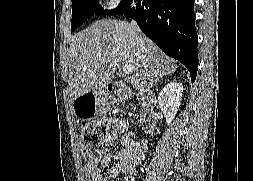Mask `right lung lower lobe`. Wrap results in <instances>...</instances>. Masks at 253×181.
Here are the masks:
<instances>
[{
    "label": "right lung lower lobe",
    "instance_id": "obj_1",
    "mask_svg": "<svg viewBox=\"0 0 253 181\" xmlns=\"http://www.w3.org/2000/svg\"><path fill=\"white\" fill-rule=\"evenodd\" d=\"M116 14L136 20L140 29L162 51L183 63L192 82L198 70V37L195 29L194 0H135Z\"/></svg>",
    "mask_w": 253,
    "mask_h": 181
}]
</instances>
